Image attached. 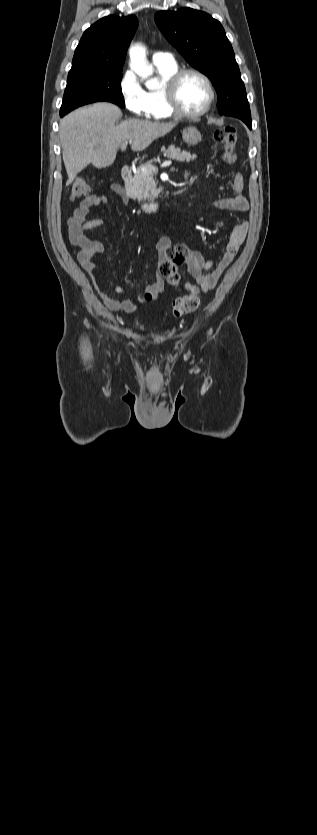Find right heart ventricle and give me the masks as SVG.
Listing matches in <instances>:
<instances>
[{
	"label": "right heart ventricle",
	"instance_id": "right-heart-ventricle-1",
	"mask_svg": "<svg viewBox=\"0 0 317 835\" xmlns=\"http://www.w3.org/2000/svg\"><path fill=\"white\" fill-rule=\"evenodd\" d=\"M156 69L161 79V85L158 88L147 90L146 97L149 106V117L162 120L174 116L167 101L165 85L168 79L179 69L175 62L156 65Z\"/></svg>",
	"mask_w": 317,
	"mask_h": 835
}]
</instances>
